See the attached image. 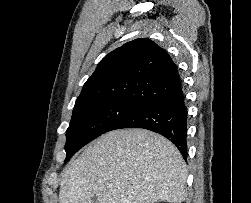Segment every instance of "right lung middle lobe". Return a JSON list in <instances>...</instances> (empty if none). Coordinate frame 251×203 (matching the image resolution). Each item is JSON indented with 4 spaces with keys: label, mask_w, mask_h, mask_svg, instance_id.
Returning a JSON list of instances; mask_svg holds the SVG:
<instances>
[{
    "label": "right lung middle lobe",
    "mask_w": 251,
    "mask_h": 203,
    "mask_svg": "<svg viewBox=\"0 0 251 203\" xmlns=\"http://www.w3.org/2000/svg\"><path fill=\"white\" fill-rule=\"evenodd\" d=\"M141 106L127 103H93L75 105L70 125L66 131V159L91 140L111 131Z\"/></svg>",
    "instance_id": "obj_1"
}]
</instances>
